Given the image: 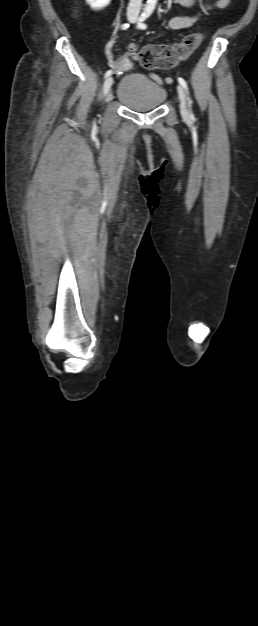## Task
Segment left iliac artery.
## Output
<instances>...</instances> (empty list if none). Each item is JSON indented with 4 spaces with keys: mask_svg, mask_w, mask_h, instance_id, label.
Returning <instances> with one entry per match:
<instances>
[{
    "mask_svg": "<svg viewBox=\"0 0 258 626\" xmlns=\"http://www.w3.org/2000/svg\"><path fill=\"white\" fill-rule=\"evenodd\" d=\"M151 13H152L151 11H147V12H145V13H143L141 15V17L139 18V22H138V27L140 29H146L147 28V25L144 23V21L151 15ZM178 82L182 85V87L185 89L186 93L189 95L186 81L183 78L178 77ZM191 104H192V101H191L190 97H188V105H189V107H191Z\"/></svg>",
    "mask_w": 258,
    "mask_h": 626,
    "instance_id": "44dca946",
    "label": "left iliac artery"
}]
</instances>
